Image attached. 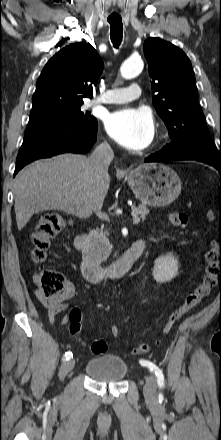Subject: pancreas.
<instances>
[{
    "label": "pancreas",
    "mask_w": 221,
    "mask_h": 440,
    "mask_svg": "<svg viewBox=\"0 0 221 440\" xmlns=\"http://www.w3.org/2000/svg\"><path fill=\"white\" fill-rule=\"evenodd\" d=\"M133 213L140 216V218L145 219L146 215L149 213V209L146 205L141 204L138 207H132ZM107 232H103L100 229L93 230L89 234L90 242L85 248L83 255L89 260H101L104 256L109 253V246L107 244Z\"/></svg>",
    "instance_id": "1"
}]
</instances>
